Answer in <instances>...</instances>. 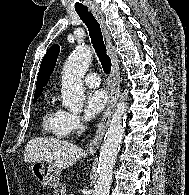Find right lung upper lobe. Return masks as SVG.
<instances>
[{
    "instance_id": "cb5924a9",
    "label": "right lung upper lobe",
    "mask_w": 189,
    "mask_h": 195,
    "mask_svg": "<svg viewBox=\"0 0 189 195\" xmlns=\"http://www.w3.org/2000/svg\"><path fill=\"white\" fill-rule=\"evenodd\" d=\"M59 46L57 44L51 46L44 56L39 69L36 91L34 99H37L43 91V87L47 84L57 61L59 54Z\"/></svg>"
}]
</instances>
